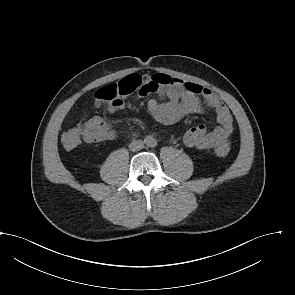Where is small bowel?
<instances>
[{
	"label": "small bowel",
	"instance_id": "1",
	"mask_svg": "<svg viewBox=\"0 0 295 295\" xmlns=\"http://www.w3.org/2000/svg\"><path fill=\"white\" fill-rule=\"evenodd\" d=\"M142 78L138 90L140 97L156 94L161 100L150 99L147 108L153 118L164 124L175 123L184 117L212 109L216 113L218 126L208 131L205 125H196L183 134L184 145L197 149H213L227 142L233 131V116L225 102L212 90L199 84L186 82L167 74L157 73ZM102 102L95 98V106ZM122 100L107 105L110 112L124 109ZM96 134L87 136L85 141L96 142L114 138L112 125L103 118L95 117Z\"/></svg>",
	"mask_w": 295,
	"mask_h": 295
}]
</instances>
